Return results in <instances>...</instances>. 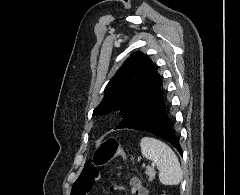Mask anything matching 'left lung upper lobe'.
<instances>
[{"mask_svg": "<svg viewBox=\"0 0 240 195\" xmlns=\"http://www.w3.org/2000/svg\"><path fill=\"white\" fill-rule=\"evenodd\" d=\"M161 90V77L154 63L142 52H135L124 62L104 90L102 102L93 111L103 115L119 111L122 120L116 129L130 122Z\"/></svg>", "mask_w": 240, "mask_h": 195, "instance_id": "obj_1", "label": "left lung upper lobe"}]
</instances>
